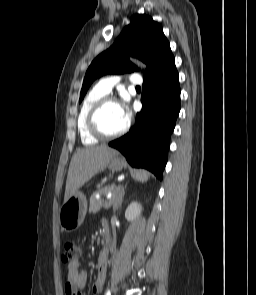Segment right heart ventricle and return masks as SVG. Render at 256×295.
<instances>
[{
  "mask_svg": "<svg viewBox=\"0 0 256 295\" xmlns=\"http://www.w3.org/2000/svg\"><path fill=\"white\" fill-rule=\"evenodd\" d=\"M104 92H102L97 86L94 87L92 90L88 92V94L85 96L80 111L78 115V132L81 138V141L85 145H94L98 142V139L90 134V132L87 129V116L89 113V110L94 105L96 101L101 99L102 97L106 96Z\"/></svg>",
  "mask_w": 256,
  "mask_h": 295,
  "instance_id": "e07e8e85",
  "label": "right heart ventricle"
}]
</instances>
